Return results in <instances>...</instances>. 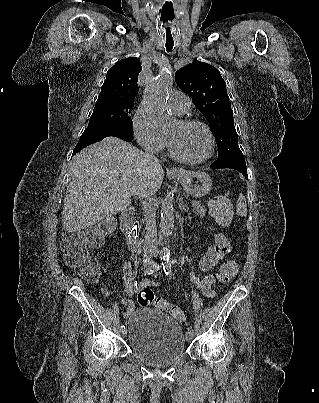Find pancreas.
Wrapping results in <instances>:
<instances>
[{"label": "pancreas", "mask_w": 319, "mask_h": 403, "mask_svg": "<svg viewBox=\"0 0 319 403\" xmlns=\"http://www.w3.org/2000/svg\"><path fill=\"white\" fill-rule=\"evenodd\" d=\"M192 211L195 214H199L200 216H204L206 213V207L202 205L200 202H198L196 205L193 206Z\"/></svg>", "instance_id": "1"}]
</instances>
